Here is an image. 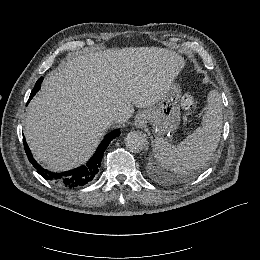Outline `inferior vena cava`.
I'll list each match as a JSON object with an SVG mask.
<instances>
[{"instance_id": "inferior-vena-cava-1", "label": "inferior vena cava", "mask_w": 260, "mask_h": 260, "mask_svg": "<svg viewBox=\"0 0 260 260\" xmlns=\"http://www.w3.org/2000/svg\"><path fill=\"white\" fill-rule=\"evenodd\" d=\"M115 122H119V116L116 114H113L111 112H108L105 116H104V126H110Z\"/></svg>"}]
</instances>
